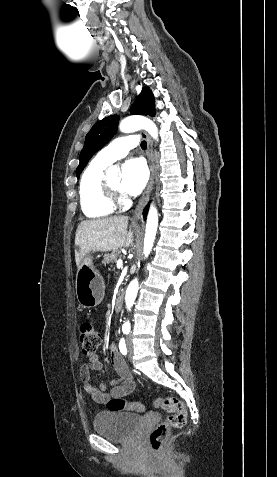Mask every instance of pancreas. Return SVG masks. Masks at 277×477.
I'll use <instances>...</instances> for the list:
<instances>
[{"label":"pancreas","instance_id":"obj_1","mask_svg":"<svg viewBox=\"0 0 277 477\" xmlns=\"http://www.w3.org/2000/svg\"><path fill=\"white\" fill-rule=\"evenodd\" d=\"M119 258V252H112L110 254H107L104 258L103 264L106 266L107 264H113L116 262ZM112 266V265H111Z\"/></svg>","mask_w":277,"mask_h":477}]
</instances>
